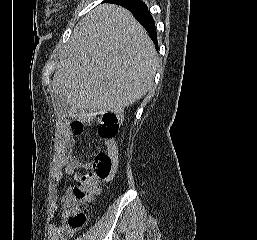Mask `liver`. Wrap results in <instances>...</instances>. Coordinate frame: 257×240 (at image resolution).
<instances>
[{
    "label": "liver",
    "instance_id": "liver-1",
    "mask_svg": "<svg viewBox=\"0 0 257 240\" xmlns=\"http://www.w3.org/2000/svg\"><path fill=\"white\" fill-rule=\"evenodd\" d=\"M158 55L148 33L126 9L103 4L74 28L53 77L52 92L72 113L124 108L153 85Z\"/></svg>",
    "mask_w": 257,
    "mask_h": 240
}]
</instances>
